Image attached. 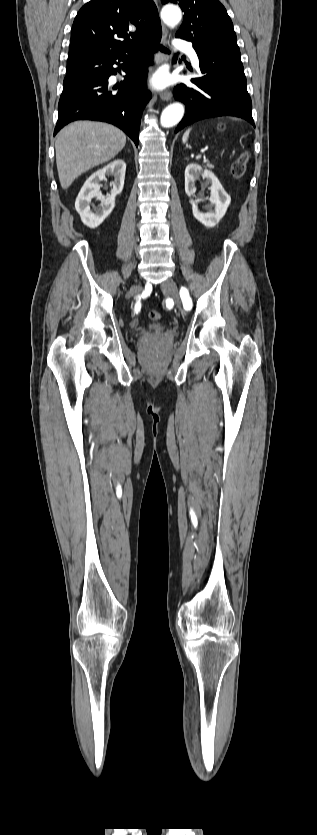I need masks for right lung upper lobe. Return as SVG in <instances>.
I'll return each instance as SVG.
<instances>
[{"label": "right lung upper lobe", "mask_w": 317, "mask_h": 835, "mask_svg": "<svg viewBox=\"0 0 317 835\" xmlns=\"http://www.w3.org/2000/svg\"><path fill=\"white\" fill-rule=\"evenodd\" d=\"M158 32L161 25L152 0H91L75 17L69 55L124 53Z\"/></svg>", "instance_id": "cb5924a9"}]
</instances>
